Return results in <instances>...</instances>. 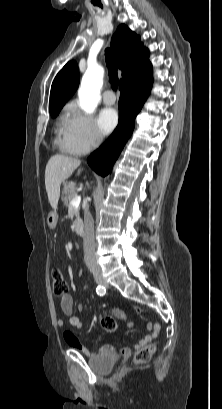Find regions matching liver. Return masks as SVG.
<instances>
[{"mask_svg": "<svg viewBox=\"0 0 222 409\" xmlns=\"http://www.w3.org/2000/svg\"><path fill=\"white\" fill-rule=\"evenodd\" d=\"M80 160L64 155H53L45 169V187L48 200L53 209L57 208L60 186L80 166ZM81 169L78 170V175Z\"/></svg>", "mask_w": 222, "mask_h": 409, "instance_id": "1", "label": "liver"}]
</instances>
